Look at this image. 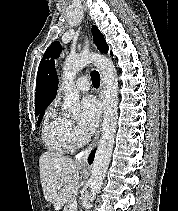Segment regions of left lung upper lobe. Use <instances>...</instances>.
<instances>
[{"mask_svg": "<svg viewBox=\"0 0 178 211\" xmlns=\"http://www.w3.org/2000/svg\"><path fill=\"white\" fill-rule=\"evenodd\" d=\"M92 35H93L94 42H95L96 46L98 47V49L101 52L107 53L108 52V45L105 42V39H104L102 33L98 30V28L96 26L92 27ZM60 52H61L60 43L59 42L52 43L48 47V49L45 51V53L43 55V59L40 62L39 68H41V66L44 64L46 58H48L50 56L57 58L59 56Z\"/></svg>", "mask_w": 178, "mask_h": 211, "instance_id": "1", "label": "left lung upper lobe"}]
</instances>
